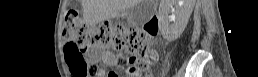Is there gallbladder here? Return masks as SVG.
<instances>
[{
  "label": "gallbladder",
  "instance_id": "gallbladder-1",
  "mask_svg": "<svg viewBox=\"0 0 258 77\" xmlns=\"http://www.w3.org/2000/svg\"><path fill=\"white\" fill-rule=\"evenodd\" d=\"M154 8L155 4L151 0H141L135 7L129 9L127 19L131 24L140 26L150 19Z\"/></svg>",
  "mask_w": 258,
  "mask_h": 77
}]
</instances>
